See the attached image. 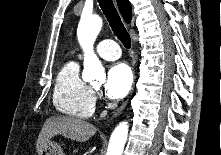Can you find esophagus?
Here are the masks:
<instances>
[{"label":"esophagus","mask_w":221,"mask_h":155,"mask_svg":"<svg viewBox=\"0 0 221 155\" xmlns=\"http://www.w3.org/2000/svg\"><path fill=\"white\" fill-rule=\"evenodd\" d=\"M125 106H126V103H124L118 110H117V112L114 114V118L115 117H117L122 111H123V109L125 108Z\"/></svg>","instance_id":"1"}]
</instances>
